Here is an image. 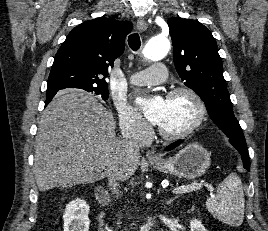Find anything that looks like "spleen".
<instances>
[{
    "label": "spleen",
    "instance_id": "obj_1",
    "mask_svg": "<svg viewBox=\"0 0 268 231\" xmlns=\"http://www.w3.org/2000/svg\"><path fill=\"white\" fill-rule=\"evenodd\" d=\"M244 203L241 179L231 173L219 184L216 194L207 199L206 207L221 222L240 226L244 220Z\"/></svg>",
    "mask_w": 268,
    "mask_h": 231
}]
</instances>
